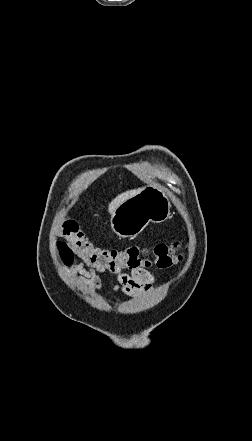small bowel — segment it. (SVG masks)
Here are the masks:
<instances>
[{"instance_id": "small-bowel-1", "label": "small bowel", "mask_w": 252, "mask_h": 441, "mask_svg": "<svg viewBox=\"0 0 252 441\" xmlns=\"http://www.w3.org/2000/svg\"><path fill=\"white\" fill-rule=\"evenodd\" d=\"M74 273L78 274V280L98 294L102 291V280L95 273L93 268L86 269L83 263H75L72 266ZM154 281L153 275L143 267L133 269L130 273H119L116 275L115 291H121L128 296H138L148 292Z\"/></svg>"}]
</instances>
